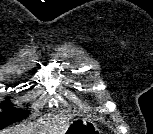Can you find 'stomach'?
<instances>
[{"instance_id":"1","label":"stomach","mask_w":153,"mask_h":134,"mask_svg":"<svg viewBox=\"0 0 153 134\" xmlns=\"http://www.w3.org/2000/svg\"><path fill=\"white\" fill-rule=\"evenodd\" d=\"M63 134H99L97 126L86 118L72 120Z\"/></svg>"}]
</instances>
